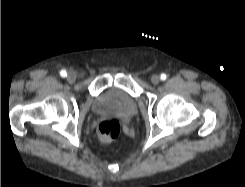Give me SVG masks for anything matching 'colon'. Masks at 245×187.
<instances>
[{"label":"colon","instance_id":"colon-1","mask_svg":"<svg viewBox=\"0 0 245 187\" xmlns=\"http://www.w3.org/2000/svg\"><path fill=\"white\" fill-rule=\"evenodd\" d=\"M121 133V123L116 118H105L97 126V136L104 144L115 141Z\"/></svg>","mask_w":245,"mask_h":187}]
</instances>
